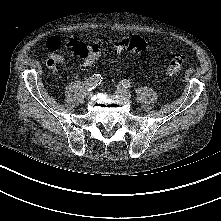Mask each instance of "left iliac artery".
Masks as SVG:
<instances>
[{"label":"left iliac artery","instance_id":"1","mask_svg":"<svg viewBox=\"0 0 221 221\" xmlns=\"http://www.w3.org/2000/svg\"><path fill=\"white\" fill-rule=\"evenodd\" d=\"M122 85H123L124 88H130L131 87V83L127 79L122 80Z\"/></svg>","mask_w":221,"mask_h":221}]
</instances>
